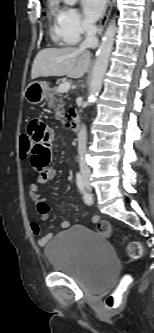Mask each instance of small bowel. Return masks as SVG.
Wrapping results in <instances>:
<instances>
[{"instance_id":"1","label":"small bowel","mask_w":154,"mask_h":333,"mask_svg":"<svg viewBox=\"0 0 154 333\" xmlns=\"http://www.w3.org/2000/svg\"><path fill=\"white\" fill-rule=\"evenodd\" d=\"M27 135L32 143L30 152L31 166L37 172L36 180L30 185L29 195L36 202L41 220L47 221L51 209L46 199L41 196L39 186L53 180L56 174L52 161L53 131L42 120L33 119L28 124ZM98 221L99 216H93L92 222L97 223ZM60 225L65 229L70 226V223L62 221ZM30 229L32 234L38 238L37 242L40 246H45L53 237L52 233L42 235L41 228L36 222L30 223Z\"/></svg>"}]
</instances>
